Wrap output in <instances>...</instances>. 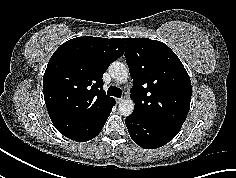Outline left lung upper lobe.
Instances as JSON below:
<instances>
[{
  "label": "left lung upper lobe",
  "mask_w": 236,
  "mask_h": 178,
  "mask_svg": "<svg viewBox=\"0 0 236 178\" xmlns=\"http://www.w3.org/2000/svg\"><path fill=\"white\" fill-rule=\"evenodd\" d=\"M133 78V114L181 128L191 101V81L177 55L164 43L123 38Z\"/></svg>",
  "instance_id": "left-lung-upper-lobe-1"
}]
</instances>
